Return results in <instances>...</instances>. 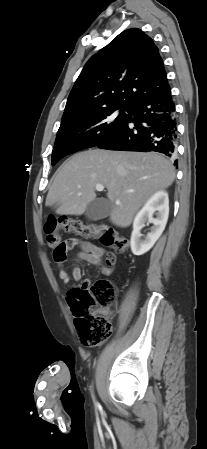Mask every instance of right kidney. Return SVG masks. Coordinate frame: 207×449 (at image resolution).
<instances>
[{
  "mask_svg": "<svg viewBox=\"0 0 207 449\" xmlns=\"http://www.w3.org/2000/svg\"><path fill=\"white\" fill-rule=\"evenodd\" d=\"M156 215V218L153 215ZM169 215V198L166 191H158L146 202L137 213L131 234V250L134 255L148 252L163 233ZM152 223L150 232L141 239V229L145 223Z\"/></svg>",
  "mask_w": 207,
  "mask_h": 449,
  "instance_id": "ca27d5eb",
  "label": "right kidney"
}]
</instances>
